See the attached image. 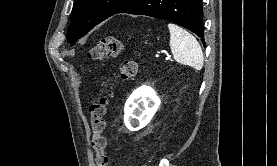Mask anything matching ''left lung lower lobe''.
Segmentation results:
<instances>
[{
  "label": "left lung lower lobe",
  "instance_id": "1",
  "mask_svg": "<svg viewBox=\"0 0 277 166\" xmlns=\"http://www.w3.org/2000/svg\"><path fill=\"white\" fill-rule=\"evenodd\" d=\"M117 13L146 15L171 21L197 34L205 44L201 0H133Z\"/></svg>",
  "mask_w": 277,
  "mask_h": 166
}]
</instances>
